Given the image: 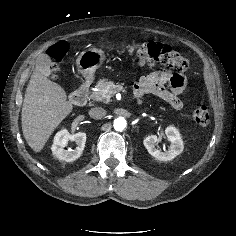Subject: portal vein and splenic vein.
Instances as JSON below:
<instances>
[{
    "label": "portal vein and splenic vein",
    "instance_id": "1",
    "mask_svg": "<svg viewBox=\"0 0 236 236\" xmlns=\"http://www.w3.org/2000/svg\"><path fill=\"white\" fill-rule=\"evenodd\" d=\"M118 89L124 91V89L122 87H120V86H118ZM106 92H107V90H106Z\"/></svg>",
    "mask_w": 236,
    "mask_h": 236
}]
</instances>
